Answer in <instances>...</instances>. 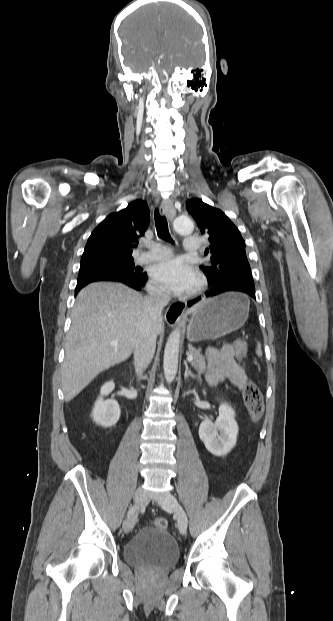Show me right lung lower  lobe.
I'll return each mask as SVG.
<instances>
[{
	"mask_svg": "<svg viewBox=\"0 0 333 621\" xmlns=\"http://www.w3.org/2000/svg\"><path fill=\"white\" fill-rule=\"evenodd\" d=\"M96 281H114L121 282L136 290H141L147 281V274L140 273L138 275H121L108 272L91 271L85 273H79L77 279V286L75 288V296L78 292L87 284Z\"/></svg>",
	"mask_w": 333,
	"mask_h": 621,
	"instance_id": "obj_1",
	"label": "right lung lower lobe"
}]
</instances>
